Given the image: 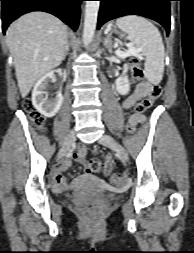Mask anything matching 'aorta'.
Listing matches in <instances>:
<instances>
[{"label":"aorta","instance_id":"1","mask_svg":"<svg viewBox=\"0 0 194 253\" xmlns=\"http://www.w3.org/2000/svg\"><path fill=\"white\" fill-rule=\"evenodd\" d=\"M100 1H86L84 14L83 42L87 46L94 37Z\"/></svg>","mask_w":194,"mask_h":253}]
</instances>
